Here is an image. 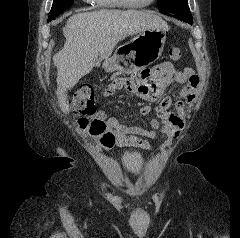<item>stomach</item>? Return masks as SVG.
Listing matches in <instances>:
<instances>
[{
  "label": "stomach",
  "instance_id": "0dacf381",
  "mask_svg": "<svg viewBox=\"0 0 240 238\" xmlns=\"http://www.w3.org/2000/svg\"><path fill=\"white\" fill-rule=\"evenodd\" d=\"M166 30L151 28L140 32L129 42L119 46L114 55L103 63L106 71L132 73L154 63L162 55Z\"/></svg>",
  "mask_w": 240,
  "mask_h": 238
}]
</instances>
